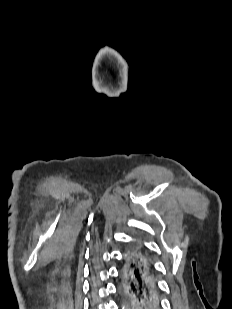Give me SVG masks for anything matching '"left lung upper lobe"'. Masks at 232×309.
<instances>
[{"mask_svg": "<svg viewBox=\"0 0 232 309\" xmlns=\"http://www.w3.org/2000/svg\"><path fill=\"white\" fill-rule=\"evenodd\" d=\"M124 294H125V297H126L127 304H128L130 307H132V300H131L129 294L126 293V292H124Z\"/></svg>", "mask_w": 232, "mask_h": 309, "instance_id": "5c2ea615", "label": "left lung upper lobe"}]
</instances>
